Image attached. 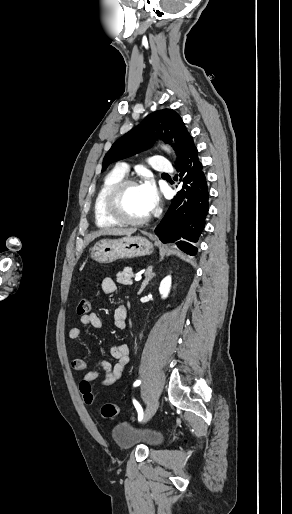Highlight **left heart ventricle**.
I'll list each match as a JSON object with an SVG mask.
<instances>
[{
	"mask_svg": "<svg viewBox=\"0 0 292 514\" xmlns=\"http://www.w3.org/2000/svg\"><path fill=\"white\" fill-rule=\"evenodd\" d=\"M117 209L126 218L137 219L149 211L138 187L124 189L117 199Z\"/></svg>",
	"mask_w": 292,
	"mask_h": 514,
	"instance_id": "b2bd125f",
	"label": "left heart ventricle"
}]
</instances>
